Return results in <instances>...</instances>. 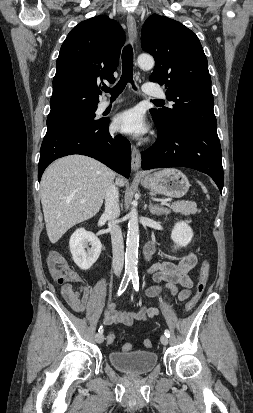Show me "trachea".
Returning a JSON list of instances; mask_svg holds the SVG:
<instances>
[{
	"instance_id": "3493384b",
	"label": "trachea",
	"mask_w": 253,
	"mask_h": 413,
	"mask_svg": "<svg viewBox=\"0 0 253 413\" xmlns=\"http://www.w3.org/2000/svg\"><path fill=\"white\" fill-rule=\"evenodd\" d=\"M127 83H131L133 88H135L133 81V49L131 45H126L122 52V75L118 83L113 88L105 87L103 91L109 92L112 98H116L124 88ZM154 102L162 103L161 100H154Z\"/></svg>"
}]
</instances>
